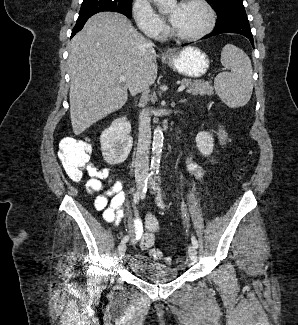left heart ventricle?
<instances>
[{
    "label": "left heart ventricle",
    "instance_id": "1",
    "mask_svg": "<svg viewBox=\"0 0 298 325\" xmlns=\"http://www.w3.org/2000/svg\"><path fill=\"white\" fill-rule=\"evenodd\" d=\"M162 6L172 14L170 25L177 33L193 34L205 24L204 12L190 0L164 2Z\"/></svg>",
    "mask_w": 298,
    "mask_h": 325
}]
</instances>
